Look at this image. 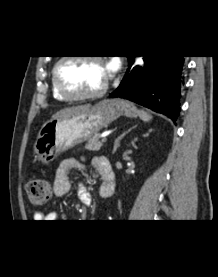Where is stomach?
I'll return each mask as SVG.
<instances>
[{"instance_id": "stomach-1", "label": "stomach", "mask_w": 218, "mask_h": 277, "mask_svg": "<svg viewBox=\"0 0 218 277\" xmlns=\"http://www.w3.org/2000/svg\"><path fill=\"white\" fill-rule=\"evenodd\" d=\"M138 110L126 100L108 99L97 103L85 111L61 118L52 119L41 127L33 149L35 157L45 164L57 156L98 135L120 116L135 117Z\"/></svg>"}]
</instances>
